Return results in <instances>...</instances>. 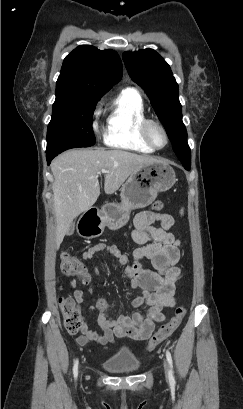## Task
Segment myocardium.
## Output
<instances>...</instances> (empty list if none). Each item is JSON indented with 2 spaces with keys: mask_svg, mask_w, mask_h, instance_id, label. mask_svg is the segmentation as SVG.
Listing matches in <instances>:
<instances>
[{
  "mask_svg": "<svg viewBox=\"0 0 243 409\" xmlns=\"http://www.w3.org/2000/svg\"><path fill=\"white\" fill-rule=\"evenodd\" d=\"M152 126L158 127L163 132L164 137H165V143L163 146H158L153 141L151 132H150ZM141 133H142L144 140L147 142V144L150 147H152L154 150H162L165 147H167V145L169 144V135H168L167 129L160 121L156 119L145 118V120L141 124Z\"/></svg>",
  "mask_w": 243,
  "mask_h": 409,
  "instance_id": "obj_1",
  "label": "myocardium"
}]
</instances>
